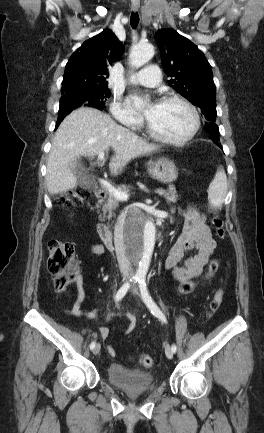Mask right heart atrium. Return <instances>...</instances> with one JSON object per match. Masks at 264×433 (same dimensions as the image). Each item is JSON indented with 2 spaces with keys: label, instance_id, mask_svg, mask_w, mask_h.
Listing matches in <instances>:
<instances>
[{
  "label": "right heart atrium",
  "instance_id": "obj_1",
  "mask_svg": "<svg viewBox=\"0 0 264 433\" xmlns=\"http://www.w3.org/2000/svg\"><path fill=\"white\" fill-rule=\"evenodd\" d=\"M112 116L120 123L129 127H138L140 119L130 110L120 97H115L110 105Z\"/></svg>",
  "mask_w": 264,
  "mask_h": 433
}]
</instances>
